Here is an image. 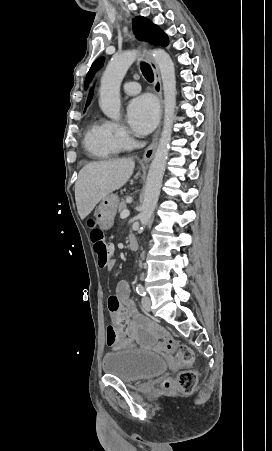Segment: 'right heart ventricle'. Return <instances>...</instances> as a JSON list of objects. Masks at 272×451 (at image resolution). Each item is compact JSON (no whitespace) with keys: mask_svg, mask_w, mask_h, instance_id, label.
<instances>
[{"mask_svg":"<svg viewBox=\"0 0 272 451\" xmlns=\"http://www.w3.org/2000/svg\"><path fill=\"white\" fill-rule=\"evenodd\" d=\"M86 147L94 156L108 158L117 152L118 143L106 124L95 123L87 133Z\"/></svg>","mask_w":272,"mask_h":451,"instance_id":"obj_1","label":"right heart ventricle"}]
</instances>
